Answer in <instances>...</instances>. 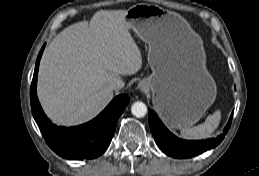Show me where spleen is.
<instances>
[{
  "label": "spleen",
  "instance_id": "obj_1",
  "mask_svg": "<svg viewBox=\"0 0 259 176\" xmlns=\"http://www.w3.org/2000/svg\"><path fill=\"white\" fill-rule=\"evenodd\" d=\"M221 121V111L216 110L212 115H209L203 124L195 127L183 128L181 136L185 139H206L211 137L212 133L218 128Z\"/></svg>",
  "mask_w": 259,
  "mask_h": 176
}]
</instances>
